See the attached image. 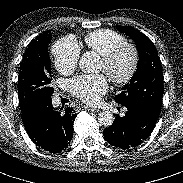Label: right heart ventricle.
Masks as SVG:
<instances>
[{
    "label": "right heart ventricle",
    "instance_id": "right-heart-ventricle-1",
    "mask_svg": "<svg viewBox=\"0 0 183 183\" xmlns=\"http://www.w3.org/2000/svg\"><path fill=\"white\" fill-rule=\"evenodd\" d=\"M84 42L90 50L102 56L127 43V39L113 30L99 29L88 33L84 37Z\"/></svg>",
    "mask_w": 183,
    "mask_h": 183
}]
</instances>
